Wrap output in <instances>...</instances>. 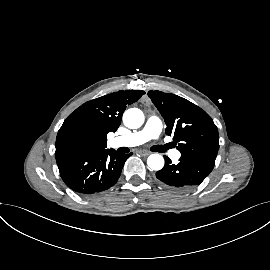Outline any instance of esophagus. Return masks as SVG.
<instances>
[{
	"label": "esophagus",
	"mask_w": 270,
	"mask_h": 270,
	"mask_svg": "<svg viewBox=\"0 0 270 270\" xmlns=\"http://www.w3.org/2000/svg\"><path fill=\"white\" fill-rule=\"evenodd\" d=\"M139 154L142 155V156H148L150 154V152L145 151V150H140Z\"/></svg>",
	"instance_id": "1"
}]
</instances>
